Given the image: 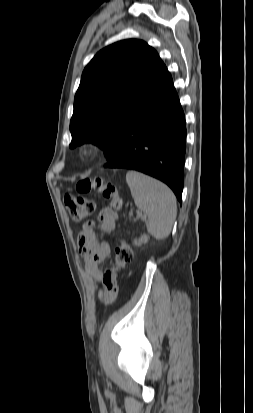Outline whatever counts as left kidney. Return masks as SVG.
I'll list each match as a JSON object with an SVG mask.
<instances>
[{
    "mask_svg": "<svg viewBox=\"0 0 253 413\" xmlns=\"http://www.w3.org/2000/svg\"><path fill=\"white\" fill-rule=\"evenodd\" d=\"M149 237L147 235H142L138 240H134V244L140 246L148 242Z\"/></svg>",
    "mask_w": 253,
    "mask_h": 413,
    "instance_id": "5707ae66",
    "label": "left kidney"
}]
</instances>
